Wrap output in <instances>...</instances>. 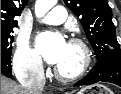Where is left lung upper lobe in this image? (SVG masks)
<instances>
[{"mask_svg":"<svg viewBox=\"0 0 121 94\" xmlns=\"http://www.w3.org/2000/svg\"><path fill=\"white\" fill-rule=\"evenodd\" d=\"M64 2L77 17H80L97 60L121 59L108 0H64Z\"/></svg>","mask_w":121,"mask_h":94,"instance_id":"obj_1","label":"left lung upper lobe"}]
</instances>
